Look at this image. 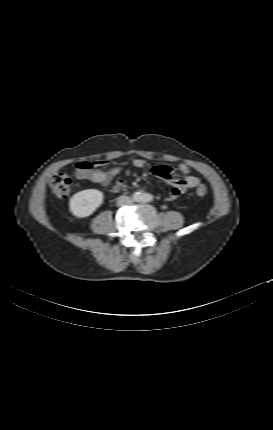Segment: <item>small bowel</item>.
I'll return each instance as SVG.
<instances>
[{
    "label": "small bowel",
    "instance_id": "obj_1",
    "mask_svg": "<svg viewBox=\"0 0 273 430\" xmlns=\"http://www.w3.org/2000/svg\"><path fill=\"white\" fill-rule=\"evenodd\" d=\"M105 161H94V162H78L75 165V175L78 178L86 179L95 183H99L103 186H107L110 181L120 173L119 167H112L108 170H92L95 166L103 165ZM131 165L135 168H143L146 165L145 160L136 158L131 161ZM179 170L185 175L183 179L174 178V171L169 166H158L155 167L152 172L157 177L164 179L170 185V193L168 200H176L180 195L185 193L189 189L196 188L200 180L192 175V171L186 164H181ZM126 188V184L123 179H118L116 183L109 189L113 193H117Z\"/></svg>",
    "mask_w": 273,
    "mask_h": 430
}]
</instances>
